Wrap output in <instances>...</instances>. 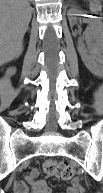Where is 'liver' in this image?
Returning a JSON list of instances; mask_svg holds the SVG:
<instances>
[{
  "mask_svg": "<svg viewBox=\"0 0 103 193\" xmlns=\"http://www.w3.org/2000/svg\"><path fill=\"white\" fill-rule=\"evenodd\" d=\"M0 63L18 58L23 52V38L31 20L28 0H1Z\"/></svg>",
  "mask_w": 103,
  "mask_h": 193,
  "instance_id": "1",
  "label": "liver"
}]
</instances>
